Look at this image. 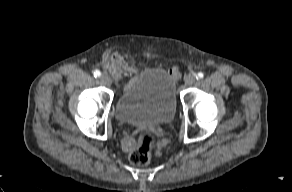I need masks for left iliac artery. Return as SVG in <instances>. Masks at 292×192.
<instances>
[{
  "mask_svg": "<svg viewBox=\"0 0 292 192\" xmlns=\"http://www.w3.org/2000/svg\"><path fill=\"white\" fill-rule=\"evenodd\" d=\"M204 77V74L202 72H199L197 74V79H202Z\"/></svg>",
  "mask_w": 292,
  "mask_h": 192,
  "instance_id": "left-iliac-artery-1",
  "label": "left iliac artery"
}]
</instances>
